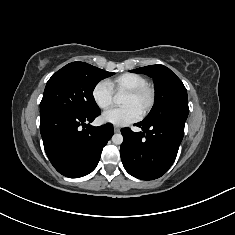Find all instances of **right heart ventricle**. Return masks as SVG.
I'll return each instance as SVG.
<instances>
[{
    "label": "right heart ventricle",
    "mask_w": 235,
    "mask_h": 235,
    "mask_svg": "<svg viewBox=\"0 0 235 235\" xmlns=\"http://www.w3.org/2000/svg\"><path fill=\"white\" fill-rule=\"evenodd\" d=\"M114 92H123L147 84L144 76L137 73H124L108 81Z\"/></svg>",
    "instance_id": "e07e8e85"
}]
</instances>
